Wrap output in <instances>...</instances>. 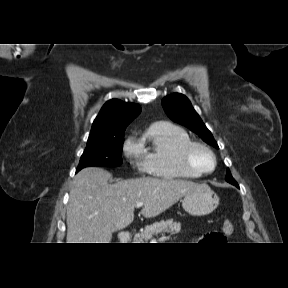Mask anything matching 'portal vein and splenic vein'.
Masks as SVG:
<instances>
[{"label":"portal vein and splenic vein","mask_w":288,"mask_h":288,"mask_svg":"<svg viewBox=\"0 0 288 288\" xmlns=\"http://www.w3.org/2000/svg\"><path fill=\"white\" fill-rule=\"evenodd\" d=\"M143 204H144L143 202H138V203L136 204V207H137V208H140V207L143 206Z\"/></svg>","instance_id":"1"}]
</instances>
